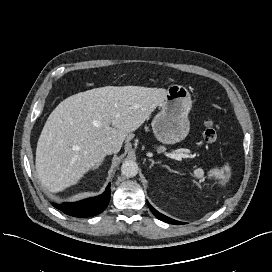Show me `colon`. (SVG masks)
Wrapping results in <instances>:
<instances>
[{
  "label": "colon",
  "mask_w": 272,
  "mask_h": 272,
  "mask_svg": "<svg viewBox=\"0 0 272 272\" xmlns=\"http://www.w3.org/2000/svg\"><path fill=\"white\" fill-rule=\"evenodd\" d=\"M204 126H205V128L203 131V138H204L205 142H207L209 144L215 143L218 138V130H217L215 123L212 120L207 119L205 121Z\"/></svg>",
  "instance_id": "colon-1"
}]
</instances>
